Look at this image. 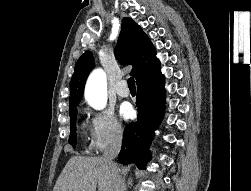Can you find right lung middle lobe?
<instances>
[{"label": "right lung middle lobe", "mask_w": 251, "mask_h": 191, "mask_svg": "<svg viewBox=\"0 0 251 191\" xmlns=\"http://www.w3.org/2000/svg\"><path fill=\"white\" fill-rule=\"evenodd\" d=\"M77 106V105H76ZM76 106L70 107V124H71V132L69 136V143L75 148L76 146V117H77V109Z\"/></svg>", "instance_id": "dd1d6c3e"}]
</instances>
